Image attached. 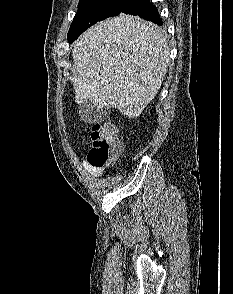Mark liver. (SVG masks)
<instances>
[{
    "label": "liver",
    "instance_id": "liver-1",
    "mask_svg": "<svg viewBox=\"0 0 233 294\" xmlns=\"http://www.w3.org/2000/svg\"><path fill=\"white\" fill-rule=\"evenodd\" d=\"M75 102L97 110L115 107L138 117L154 99L170 62L163 31L120 14L88 29L72 50Z\"/></svg>",
    "mask_w": 233,
    "mask_h": 294
}]
</instances>
